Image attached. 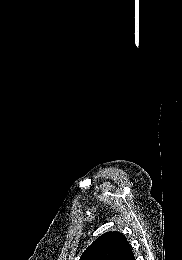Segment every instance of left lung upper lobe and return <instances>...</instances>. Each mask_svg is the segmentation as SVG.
Masks as SVG:
<instances>
[{
	"mask_svg": "<svg viewBox=\"0 0 182 260\" xmlns=\"http://www.w3.org/2000/svg\"><path fill=\"white\" fill-rule=\"evenodd\" d=\"M131 253V246L125 235L117 231L99 236L83 252L80 260H126Z\"/></svg>",
	"mask_w": 182,
	"mask_h": 260,
	"instance_id": "left-lung-upper-lobe-1",
	"label": "left lung upper lobe"
}]
</instances>
